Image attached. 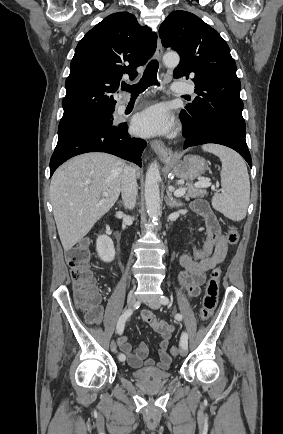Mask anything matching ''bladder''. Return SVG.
I'll return each mask as SVG.
<instances>
[{
    "label": "bladder",
    "instance_id": "bladder-1",
    "mask_svg": "<svg viewBox=\"0 0 283 434\" xmlns=\"http://www.w3.org/2000/svg\"><path fill=\"white\" fill-rule=\"evenodd\" d=\"M131 374L135 379L140 381H166L172 376L171 372L153 366L135 369Z\"/></svg>",
    "mask_w": 283,
    "mask_h": 434
}]
</instances>
